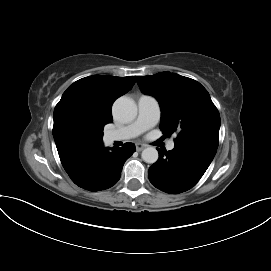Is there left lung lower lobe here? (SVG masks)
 Segmentation results:
<instances>
[{
	"mask_svg": "<svg viewBox=\"0 0 271 271\" xmlns=\"http://www.w3.org/2000/svg\"><path fill=\"white\" fill-rule=\"evenodd\" d=\"M159 159L149 168L150 182L161 191L178 194L192 188L212 162L217 149L192 142L175 143L173 150L158 149Z\"/></svg>",
	"mask_w": 271,
	"mask_h": 271,
	"instance_id": "1",
	"label": "left lung lower lobe"
}]
</instances>
